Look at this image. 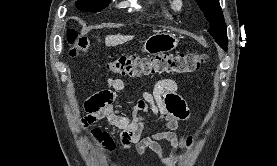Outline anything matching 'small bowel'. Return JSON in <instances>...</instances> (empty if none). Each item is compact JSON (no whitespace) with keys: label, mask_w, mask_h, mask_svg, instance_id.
I'll use <instances>...</instances> for the list:
<instances>
[{"label":"small bowel","mask_w":277,"mask_h":166,"mask_svg":"<svg viewBox=\"0 0 277 166\" xmlns=\"http://www.w3.org/2000/svg\"><path fill=\"white\" fill-rule=\"evenodd\" d=\"M106 84L107 89L86 100L84 107L87 114L82 120L83 125L88 126L105 119L119 130V137L126 152L134 147L140 156H146L150 151L163 164L176 163L181 150L190 147L192 143L191 137L176 133L180 122L189 117L184 100L177 94L176 82L172 79L158 81L152 92H143L140 99L130 102L129 115L115 110L117 93L126 91L125 83L121 79H108ZM158 123L162 124L164 131L142 136L147 125ZM93 135L108 159L115 148L113 137L99 129H95ZM160 141H166L171 145L172 150L168 156L163 155Z\"/></svg>","instance_id":"small-bowel-1"}]
</instances>
